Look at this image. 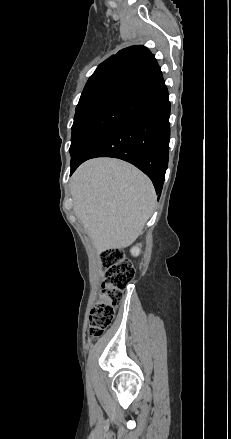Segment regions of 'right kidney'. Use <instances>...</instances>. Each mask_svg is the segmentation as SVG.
Segmentation results:
<instances>
[{"label":"right kidney","instance_id":"1","mask_svg":"<svg viewBox=\"0 0 231 439\" xmlns=\"http://www.w3.org/2000/svg\"><path fill=\"white\" fill-rule=\"evenodd\" d=\"M139 253H140V248H139V246H135V247H133V248L131 249V254H132L133 256H138Z\"/></svg>","mask_w":231,"mask_h":439}]
</instances>
